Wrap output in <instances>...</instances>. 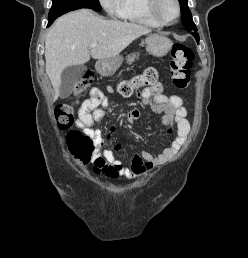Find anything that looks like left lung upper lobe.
Here are the masks:
<instances>
[{"instance_id":"obj_1","label":"left lung upper lobe","mask_w":248,"mask_h":258,"mask_svg":"<svg viewBox=\"0 0 248 258\" xmlns=\"http://www.w3.org/2000/svg\"><path fill=\"white\" fill-rule=\"evenodd\" d=\"M181 5V19L183 24L185 25L188 31H197V28L192 20L191 12L188 8V1L187 0H179Z\"/></svg>"}]
</instances>
